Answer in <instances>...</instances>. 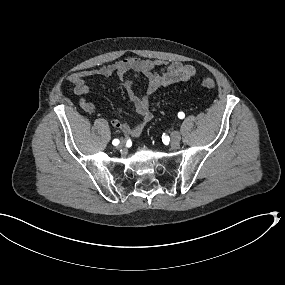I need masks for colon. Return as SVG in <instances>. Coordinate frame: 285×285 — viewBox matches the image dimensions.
Here are the masks:
<instances>
[{"instance_id":"obj_1","label":"colon","mask_w":285,"mask_h":285,"mask_svg":"<svg viewBox=\"0 0 285 285\" xmlns=\"http://www.w3.org/2000/svg\"><path fill=\"white\" fill-rule=\"evenodd\" d=\"M200 84L202 87L209 89V90H213L216 88V84L211 78H203Z\"/></svg>"}]
</instances>
